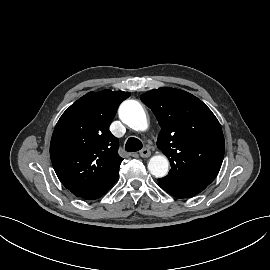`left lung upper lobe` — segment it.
Here are the masks:
<instances>
[{
	"instance_id": "obj_1",
	"label": "left lung upper lobe",
	"mask_w": 270,
	"mask_h": 270,
	"mask_svg": "<svg viewBox=\"0 0 270 270\" xmlns=\"http://www.w3.org/2000/svg\"><path fill=\"white\" fill-rule=\"evenodd\" d=\"M155 114L161 131L157 146L170 160L163 184L209 185L224 158L225 141L219 121L197 97L179 89L159 88L141 95Z\"/></svg>"
}]
</instances>
